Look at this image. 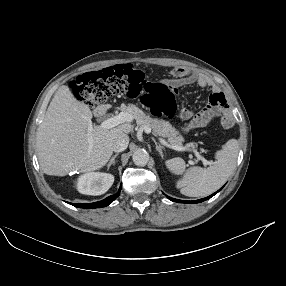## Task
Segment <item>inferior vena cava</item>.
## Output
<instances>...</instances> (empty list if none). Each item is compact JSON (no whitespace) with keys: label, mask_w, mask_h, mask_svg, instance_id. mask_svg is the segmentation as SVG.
<instances>
[{"label":"inferior vena cava","mask_w":286,"mask_h":286,"mask_svg":"<svg viewBox=\"0 0 286 286\" xmlns=\"http://www.w3.org/2000/svg\"><path fill=\"white\" fill-rule=\"evenodd\" d=\"M129 137L125 134L118 136L113 144V150L115 152H122L128 147Z\"/></svg>","instance_id":"602c4592"}]
</instances>
